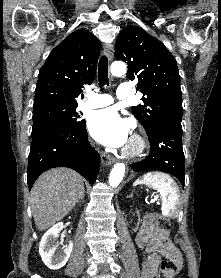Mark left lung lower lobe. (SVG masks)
Listing matches in <instances>:
<instances>
[{
  "label": "left lung lower lobe",
  "mask_w": 221,
  "mask_h": 278,
  "mask_svg": "<svg viewBox=\"0 0 221 278\" xmlns=\"http://www.w3.org/2000/svg\"><path fill=\"white\" fill-rule=\"evenodd\" d=\"M150 153L141 162L132 164L136 172L159 170L174 175L184 187L185 157L182 148V127L176 123H160L148 133Z\"/></svg>",
  "instance_id": "1"
}]
</instances>
